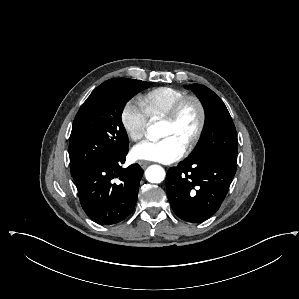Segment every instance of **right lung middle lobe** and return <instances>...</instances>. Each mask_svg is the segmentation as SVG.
I'll return each instance as SVG.
<instances>
[{
	"label": "right lung middle lobe",
	"mask_w": 299,
	"mask_h": 299,
	"mask_svg": "<svg viewBox=\"0 0 299 299\" xmlns=\"http://www.w3.org/2000/svg\"><path fill=\"white\" fill-rule=\"evenodd\" d=\"M149 85L139 80L114 78L90 94L74 119L70 136L69 156L74 178L89 167L128 150L122 110L129 99Z\"/></svg>",
	"instance_id": "1"
}]
</instances>
